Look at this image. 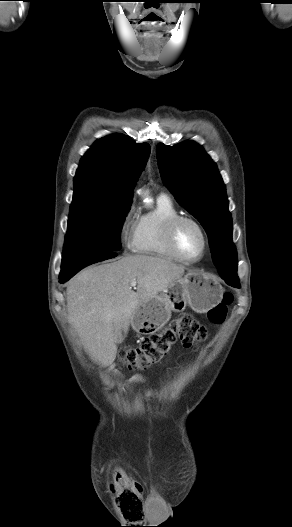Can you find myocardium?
Returning <instances> with one entry per match:
<instances>
[{"instance_id":"obj_1","label":"myocardium","mask_w":292,"mask_h":527,"mask_svg":"<svg viewBox=\"0 0 292 527\" xmlns=\"http://www.w3.org/2000/svg\"><path fill=\"white\" fill-rule=\"evenodd\" d=\"M189 222L192 223L197 227V229L200 231L202 238H203V248L201 254L195 258V259H188L184 257L176 243V233L179 228V226L184 223ZM165 242L169 249V251L172 253V255L179 261L186 263V264H195L200 262L206 255L208 249H209V237L208 234L204 228V226L194 217L188 216V215H178L173 217L166 226L165 231Z\"/></svg>"}]
</instances>
